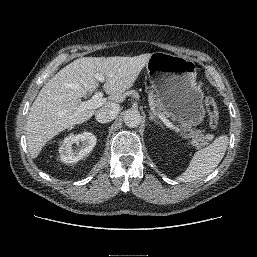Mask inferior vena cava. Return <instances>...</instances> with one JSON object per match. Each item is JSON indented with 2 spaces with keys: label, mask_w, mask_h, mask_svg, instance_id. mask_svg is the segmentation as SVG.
Returning a JSON list of instances; mask_svg holds the SVG:
<instances>
[{
  "label": "inferior vena cava",
  "mask_w": 257,
  "mask_h": 257,
  "mask_svg": "<svg viewBox=\"0 0 257 257\" xmlns=\"http://www.w3.org/2000/svg\"><path fill=\"white\" fill-rule=\"evenodd\" d=\"M120 111L119 104H111L108 107L100 108L95 112V118L100 123H107L114 120Z\"/></svg>",
  "instance_id": "602c4592"
}]
</instances>
